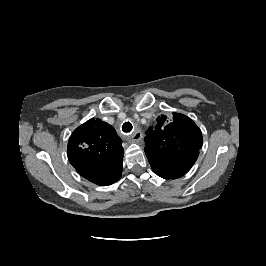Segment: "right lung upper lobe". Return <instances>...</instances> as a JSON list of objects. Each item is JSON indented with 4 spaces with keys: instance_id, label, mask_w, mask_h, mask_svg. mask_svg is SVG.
<instances>
[{
    "instance_id": "obj_1",
    "label": "right lung upper lobe",
    "mask_w": 266,
    "mask_h": 266,
    "mask_svg": "<svg viewBox=\"0 0 266 266\" xmlns=\"http://www.w3.org/2000/svg\"><path fill=\"white\" fill-rule=\"evenodd\" d=\"M122 140L115 129L100 119L91 118L71 134L67 155L76 171L101 186L120 179L123 167Z\"/></svg>"
}]
</instances>
